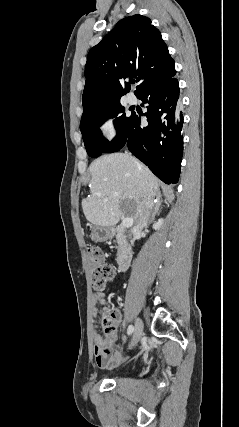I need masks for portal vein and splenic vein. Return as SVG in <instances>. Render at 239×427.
Segmentation results:
<instances>
[{
    "mask_svg": "<svg viewBox=\"0 0 239 427\" xmlns=\"http://www.w3.org/2000/svg\"><path fill=\"white\" fill-rule=\"evenodd\" d=\"M132 224H133V219L132 218H124L122 220V226H124V227L132 226Z\"/></svg>",
    "mask_w": 239,
    "mask_h": 427,
    "instance_id": "1",
    "label": "portal vein and splenic vein"
}]
</instances>
